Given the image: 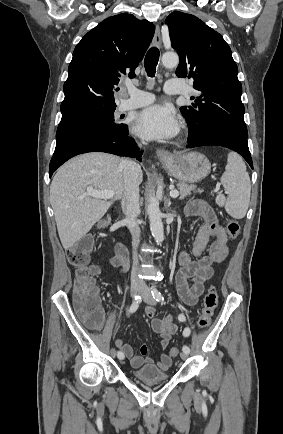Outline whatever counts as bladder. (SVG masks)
Returning <instances> with one entry per match:
<instances>
[{"label":"bladder","instance_id":"31cf9c89","mask_svg":"<svg viewBox=\"0 0 283 434\" xmlns=\"http://www.w3.org/2000/svg\"><path fill=\"white\" fill-rule=\"evenodd\" d=\"M131 374L135 380L141 382L167 381L170 378L169 373L162 371L155 365H144L133 370Z\"/></svg>","mask_w":283,"mask_h":434}]
</instances>
